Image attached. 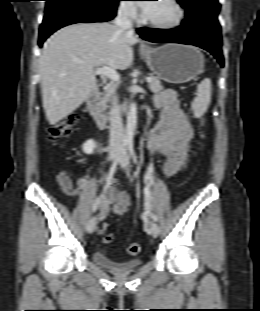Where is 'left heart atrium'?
<instances>
[{
    "mask_svg": "<svg viewBox=\"0 0 260 311\" xmlns=\"http://www.w3.org/2000/svg\"><path fill=\"white\" fill-rule=\"evenodd\" d=\"M141 6H142V9L144 10L145 13H148L152 8L151 3H144Z\"/></svg>",
    "mask_w": 260,
    "mask_h": 311,
    "instance_id": "1",
    "label": "left heart atrium"
}]
</instances>
